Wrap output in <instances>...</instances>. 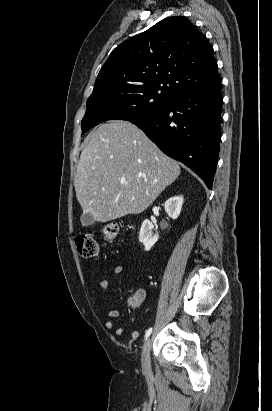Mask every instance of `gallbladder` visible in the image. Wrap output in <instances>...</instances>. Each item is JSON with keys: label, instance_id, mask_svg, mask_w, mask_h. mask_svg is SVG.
<instances>
[{"label": "gallbladder", "instance_id": "gallbladder-1", "mask_svg": "<svg viewBox=\"0 0 272 411\" xmlns=\"http://www.w3.org/2000/svg\"><path fill=\"white\" fill-rule=\"evenodd\" d=\"M80 220H81V222L84 226H89V225H92L94 223V220H93L92 216L89 213L83 214L81 216Z\"/></svg>", "mask_w": 272, "mask_h": 411}]
</instances>
